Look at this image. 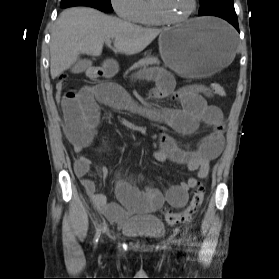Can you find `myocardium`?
<instances>
[{
  "mask_svg": "<svg viewBox=\"0 0 279 279\" xmlns=\"http://www.w3.org/2000/svg\"><path fill=\"white\" fill-rule=\"evenodd\" d=\"M152 7L155 15L161 21V23L169 24V25H178L188 21L196 12L197 9V0H192V5L189 11L182 17L179 18H171L163 10L161 0H151Z\"/></svg>",
  "mask_w": 279,
  "mask_h": 279,
  "instance_id": "myocardium-1",
  "label": "myocardium"
}]
</instances>
